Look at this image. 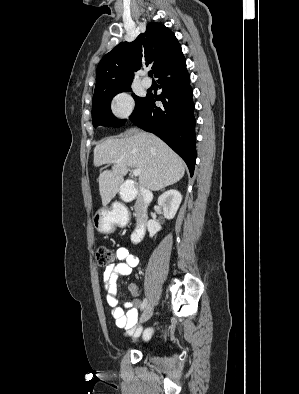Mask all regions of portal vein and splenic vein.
<instances>
[{"label":"portal vein and splenic vein","mask_w":299,"mask_h":394,"mask_svg":"<svg viewBox=\"0 0 299 394\" xmlns=\"http://www.w3.org/2000/svg\"><path fill=\"white\" fill-rule=\"evenodd\" d=\"M112 162H113V163H116L117 161H116V160H113ZM132 172H133V175H134L135 177H138V176H140V174H141V170H140V169H132Z\"/></svg>","instance_id":"obj_1"}]
</instances>
